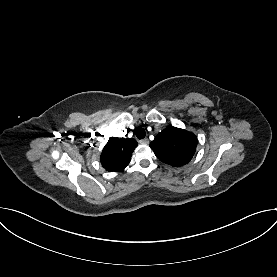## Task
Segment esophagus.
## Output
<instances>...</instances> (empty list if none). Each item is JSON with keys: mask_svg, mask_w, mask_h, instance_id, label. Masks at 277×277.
<instances>
[{"mask_svg": "<svg viewBox=\"0 0 277 277\" xmlns=\"http://www.w3.org/2000/svg\"><path fill=\"white\" fill-rule=\"evenodd\" d=\"M139 143L142 144V145H148L149 140L147 138H144V139L140 140Z\"/></svg>", "mask_w": 277, "mask_h": 277, "instance_id": "esophagus-1", "label": "esophagus"}]
</instances>
